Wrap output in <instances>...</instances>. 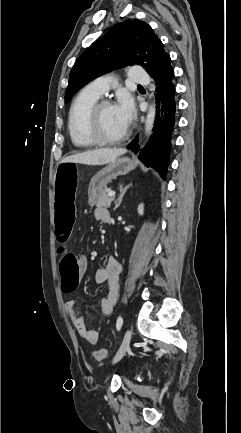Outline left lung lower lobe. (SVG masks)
Returning a JSON list of instances; mask_svg holds the SVG:
<instances>
[{
	"mask_svg": "<svg viewBox=\"0 0 241 433\" xmlns=\"http://www.w3.org/2000/svg\"><path fill=\"white\" fill-rule=\"evenodd\" d=\"M174 70L170 66L159 77L154 78L156 84V116L154 132L148 145L139 152V159L147 166L154 168L162 177L166 176L169 165L171 140L175 129V86L172 82ZM138 137L127 148L138 152Z\"/></svg>",
	"mask_w": 241,
	"mask_h": 433,
	"instance_id": "0a47b994",
	"label": "left lung lower lobe"
}]
</instances>
